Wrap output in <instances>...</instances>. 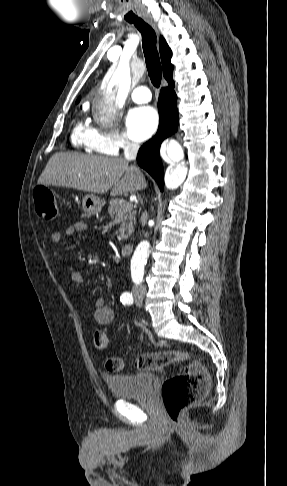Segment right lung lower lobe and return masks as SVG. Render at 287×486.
<instances>
[{
	"label": "right lung lower lobe",
	"mask_w": 287,
	"mask_h": 486,
	"mask_svg": "<svg viewBox=\"0 0 287 486\" xmlns=\"http://www.w3.org/2000/svg\"><path fill=\"white\" fill-rule=\"evenodd\" d=\"M168 87L162 88L159 100V128L156 135L146 142L137 155V162L140 167L145 169L157 182L163 191L164 175L163 166L159 156V149L162 141L177 131L178 111L177 96L174 92V82H168Z\"/></svg>",
	"instance_id": "1"
}]
</instances>
